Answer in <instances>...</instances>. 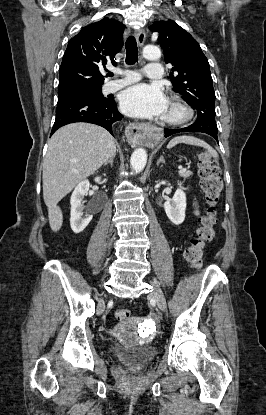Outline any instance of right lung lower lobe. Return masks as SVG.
<instances>
[{"label": "right lung lower lobe", "mask_w": 266, "mask_h": 415, "mask_svg": "<svg viewBox=\"0 0 266 415\" xmlns=\"http://www.w3.org/2000/svg\"><path fill=\"white\" fill-rule=\"evenodd\" d=\"M123 116L118 112L113 98L104 101L69 99L57 103L56 119L51 135L60 127L74 122H88L100 125L113 134L114 124Z\"/></svg>", "instance_id": "obj_1"}]
</instances>
